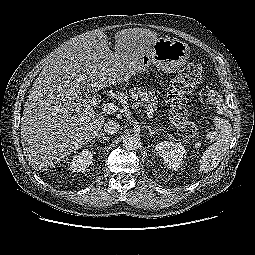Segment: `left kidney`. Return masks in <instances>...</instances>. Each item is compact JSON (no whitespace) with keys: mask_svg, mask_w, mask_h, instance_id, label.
<instances>
[{"mask_svg":"<svg viewBox=\"0 0 255 255\" xmlns=\"http://www.w3.org/2000/svg\"><path fill=\"white\" fill-rule=\"evenodd\" d=\"M155 149L167 168L178 170L182 166L186 151L181 143L163 141L158 143Z\"/></svg>","mask_w":255,"mask_h":255,"instance_id":"obj_1","label":"left kidney"}]
</instances>
